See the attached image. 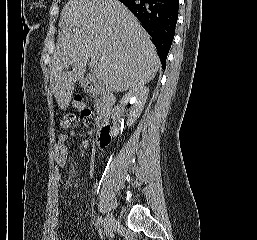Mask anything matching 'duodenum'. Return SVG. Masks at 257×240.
I'll list each match as a JSON object with an SVG mask.
<instances>
[{"label": "duodenum", "instance_id": "1", "mask_svg": "<svg viewBox=\"0 0 257 240\" xmlns=\"http://www.w3.org/2000/svg\"><path fill=\"white\" fill-rule=\"evenodd\" d=\"M83 86L84 89L89 92V93H95L97 90L95 87L90 83L87 79L83 80ZM104 102L107 107H111L114 104V98L108 94H103L102 95ZM111 136H112V126L109 120L105 119L102 121L98 135H97V145L100 148H105L107 147L110 142H111Z\"/></svg>", "mask_w": 257, "mask_h": 240}]
</instances>
